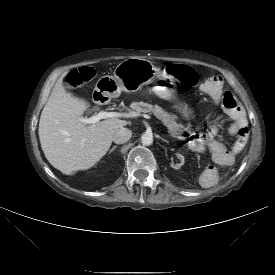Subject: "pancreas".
<instances>
[{"mask_svg":"<svg viewBox=\"0 0 275 275\" xmlns=\"http://www.w3.org/2000/svg\"><path fill=\"white\" fill-rule=\"evenodd\" d=\"M130 107L138 113H153L168 128V132L175 138L182 139L183 126L175 121V117L158 105L144 102H133Z\"/></svg>","mask_w":275,"mask_h":275,"instance_id":"1","label":"pancreas"}]
</instances>
